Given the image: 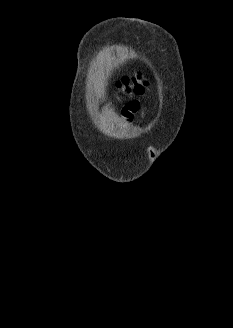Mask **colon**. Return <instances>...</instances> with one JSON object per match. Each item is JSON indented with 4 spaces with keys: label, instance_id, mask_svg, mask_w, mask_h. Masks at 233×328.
I'll return each instance as SVG.
<instances>
[{
    "label": "colon",
    "instance_id": "colon-1",
    "mask_svg": "<svg viewBox=\"0 0 233 328\" xmlns=\"http://www.w3.org/2000/svg\"><path fill=\"white\" fill-rule=\"evenodd\" d=\"M145 82L141 78V74L133 76H124L116 82V89L122 92H134L136 94L142 93Z\"/></svg>",
    "mask_w": 233,
    "mask_h": 328
}]
</instances>
